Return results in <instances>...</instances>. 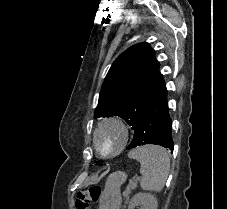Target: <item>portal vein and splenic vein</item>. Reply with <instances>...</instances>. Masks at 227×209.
<instances>
[{"label":"portal vein and splenic vein","instance_id":"portal-vein-and-splenic-vein-1","mask_svg":"<svg viewBox=\"0 0 227 209\" xmlns=\"http://www.w3.org/2000/svg\"><path fill=\"white\" fill-rule=\"evenodd\" d=\"M130 186L128 185L126 188H127V191L125 190L123 193H124V197L126 198L128 196V194L139 184L137 181H131L130 183Z\"/></svg>","mask_w":227,"mask_h":209}]
</instances>
